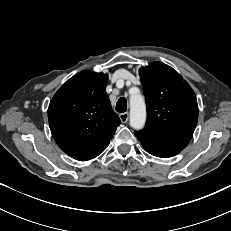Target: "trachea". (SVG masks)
<instances>
[{"mask_svg": "<svg viewBox=\"0 0 231 231\" xmlns=\"http://www.w3.org/2000/svg\"><path fill=\"white\" fill-rule=\"evenodd\" d=\"M116 111L119 113H124L127 111V100L124 97L118 99L116 103Z\"/></svg>", "mask_w": 231, "mask_h": 231, "instance_id": "1", "label": "trachea"}]
</instances>
